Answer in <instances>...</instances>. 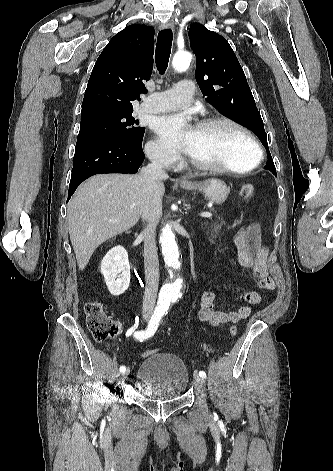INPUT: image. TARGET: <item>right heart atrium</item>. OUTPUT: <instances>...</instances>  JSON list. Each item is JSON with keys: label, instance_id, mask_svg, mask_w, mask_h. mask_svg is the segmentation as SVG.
<instances>
[{"label": "right heart atrium", "instance_id": "d8ad5b80", "mask_svg": "<svg viewBox=\"0 0 333 471\" xmlns=\"http://www.w3.org/2000/svg\"><path fill=\"white\" fill-rule=\"evenodd\" d=\"M146 153L154 164L162 168L173 169L181 162V157L177 152L159 140L149 141L146 145Z\"/></svg>", "mask_w": 333, "mask_h": 471}]
</instances>
